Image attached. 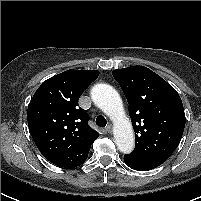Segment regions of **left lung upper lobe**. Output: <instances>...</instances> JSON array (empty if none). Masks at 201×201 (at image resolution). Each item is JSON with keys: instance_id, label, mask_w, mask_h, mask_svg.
I'll return each instance as SVG.
<instances>
[{"instance_id": "5c2ea615", "label": "left lung upper lobe", "mask_w": 201, "mask_h": 201, "mask_svg": "<svg viewBox=\"0 0 201 201\" xmlns=\"http://www.w3.org/2000/svg\"><path fill=\"white\" fill-rule=\"evenodd\" d=\"M112 74L127 98L135 131V149L127 155L140 161H165L178 147L185 128L179 94L144 66L117 69Z\"/></svg>"}]
</instances>
